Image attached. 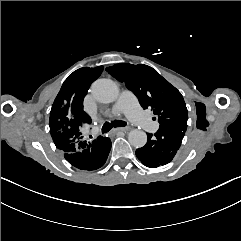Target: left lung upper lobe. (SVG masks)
<instances>
[{
  "label": "left lung upper lobe",
  "mask_w": 241,
  "mask_h": 241,
  "mask_svg": "<svg viewBox=\"0 0 241 241\" xmlns=\"http://www.w3.org/2000/svg\"><path fill=\"white\" fill-rule=\"evenodd\" d=\"M106 70L125 83L144 109L149 107L158 115L160 126L187 123L188 111L183 96L152 67L121 63Z\"/></svg>",
  "instance_id": "5c2ea615"
}]
</instances>
